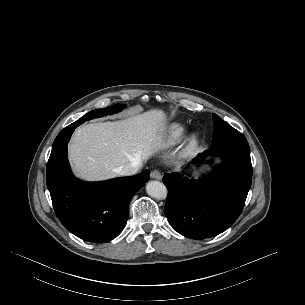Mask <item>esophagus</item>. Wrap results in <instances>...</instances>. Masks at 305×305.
<instances>
[{
	"label": "esophagus",
	"instance_id": "34e87169",
	"mask_svg": "<svg viewBox=\"0 0 305 305\" xmlns=\"http://www.w3.org/2000/svg\"><path fill=\"white\" fill-rule=\"evenodd\" d=\"M150 176H151L152 179H156V180H160L162 178V175H161L159 170L151 171Z\"/></svg>",
	"mask_w": 305,
	"mask_h": 305
}]
</instances>
